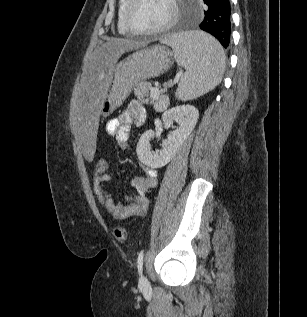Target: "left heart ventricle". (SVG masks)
<instances>
[{"label":"left heart ventricle","mask_w":307,"mask_h":317,"mask_svg":"<svg viewBox=\"0 0 307 317\" xmlns=\"http://www.w3.org/2000/svg\"><path fill=\"white\" fill-rule=\"evenodd\" d=\"M171 15L169 0H136L130 11L132 25L149 30L164 24Z\"/></svg>","instance_id":"left-heart-ventricle-1"}]
</instances>
